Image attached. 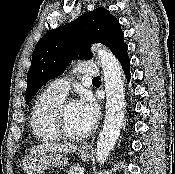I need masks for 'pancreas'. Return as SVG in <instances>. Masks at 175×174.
Listing matches in <instances>:
<instances>
[{
	"instance_id": "1",
	"label": "pancreas",
	"mask_w": 175,
	"mask_h": 174,
	"mask_svg": "<svg viewBox=\"0 0 175 174\" xmlns=\"http://www.w3.org/2000/svg\"><path fill=\"white\" fill-rule=\"evenodd\" d=\"M81 168L78 165H73L68 171L67 174H78V171Z\"/></svg>"
}]
</instances>
